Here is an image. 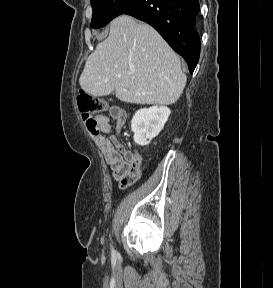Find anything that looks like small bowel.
I'll return each mask as SVG.
<instances>
[{"mask_svg": "<svg viewBox=\"0 0 273 288\" xmlns=\"http://www.w3.org/2000/svg\"><path fill=\"white\" fill-rule=\"evenodd\" d=\"M109 116L114 121L116 132L120 133L126 122L125 111L118 106H111ZM110 118L104 115L97 117L99 133L94 135V139L110 166L114 179L119 182L122 189H125L139 180L142 157L138 152L128 150L116 135H111L109 138L104 136L112 130Z\"/></svg>", "mask_w": 273, "mask_h": 288, "instance_id": "obj_1", "label": "small bowel"}]
</instances>
